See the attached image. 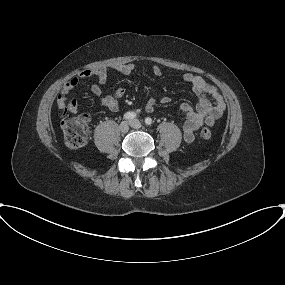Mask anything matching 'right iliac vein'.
<instances>
[{"label":"right iliac vein","instance_id":"63e3f726","mask_svg":"<svg viewBox=\"0 0 285 285\" xmlns=\"http://www.w3.org/2000/svg\"><path fill=\"white\" fill-rule=\"evenodd\" d=\"M119 130L121 133L125 134L129 131V122L127 121H123L120 125H119Z\"/></svg>","mask_w":285,"mask_h":285}]
</instances>
